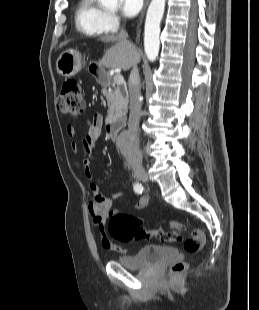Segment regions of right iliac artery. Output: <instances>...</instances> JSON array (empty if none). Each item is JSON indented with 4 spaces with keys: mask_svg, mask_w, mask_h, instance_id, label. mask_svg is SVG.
<instances>
[{
    "mask_svg": "<svg viewBox=\"0 0 259 310\" xmlns=\"http://www.w3.org/2000/svg\"><path fill=\"white\" fill-rule=\"evenodd\" d=\"M143 186H142V184H140V183H138V182H136L135 184H134V191L137 193V194H141L142 192H143Z\"/></svg>",
    "mask_w": 259,
    "mask_h": 310,
    "instance_id": "right-iliac-artery-1",
    "label": "right iliac artery"
}]
</instances>
